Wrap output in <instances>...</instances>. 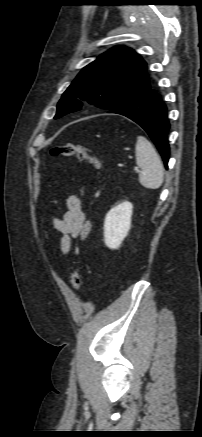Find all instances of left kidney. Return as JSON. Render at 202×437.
Instances as JSON below:
<instances>
[{
  "label": "left kidney",
  "instance_id": "obj_1",
  "mask_svg": "<svg viewBox=\"0 0 202 437\" xmlns=\"http://www.w3.org/2000/svg\"><path fill=\"white\" fill-rule=\"evenodd\" d=\"M133 205L125 201L113 207L104 221V241L108 248L117 249L131 227Z\"/></svg>",
  "mask_w": 202,
  "mask_h": 437
}]
</instances>
